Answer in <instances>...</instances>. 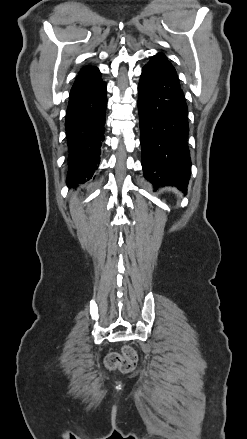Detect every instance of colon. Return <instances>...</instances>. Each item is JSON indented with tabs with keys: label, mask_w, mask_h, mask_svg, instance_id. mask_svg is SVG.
Masks as SVG:
<instances>
[{
	"label": "colon",
	"mask_w": 247,
	"mask_h": 439,
	"mask_svg": "<svg viewBox=\"0 0 247 439\" xmlns=\"http://www.w3.org/2000/svg\"><path fill=\"white\" fill-rule=\"evenodd\" d=\"M137 361L135 350L130 346H124L121 352H112L105 359L106 366L111 370H119L123 373L130 372Z\"/></svg>",
	"instance_id": "1"
}]
</instances>
